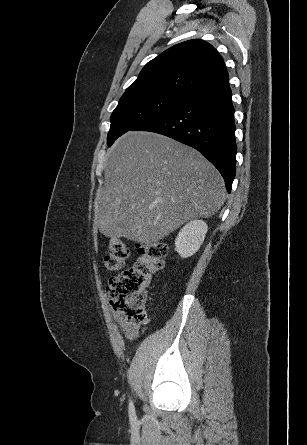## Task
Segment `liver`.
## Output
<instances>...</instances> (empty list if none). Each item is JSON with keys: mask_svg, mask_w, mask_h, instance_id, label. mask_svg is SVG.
I'll return each instance as SVG.
<instances>
[{"mask_svg": "<svg viewBox=\"0 0 307 445\" xmlns=\"http://www.w3.org/2000/svg\"><path fill=\"white\" fill-rule=\"evenodd\" d=\"M95 198L105 237L154 247L192 218H209L226 200L224 180L198 150L156 132H126L110 150Z\"/></svg>", "mask_w": 307, "mask_h": 445, "instance_id": "obj_1", "label": "liver"}]
</instances>
